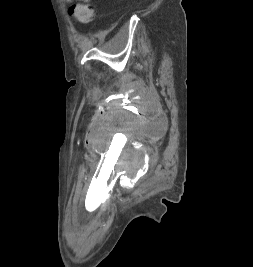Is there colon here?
<instances>
[{
  "label": "colon",
  "instance_id": "1",
  "mask_svg": "<svg viewBox=\"0 0 253 267\" xmlns=\"http://www.w3.org/2000/svg\"><path fill=\"white\" fill-rule=\"evenodd\" d=\"M90 1L91 0H82V3L69 8V13L80 24H89L95 18L96 11Z\"/></svg>",
  "mask_w": 253,
  "mask_h": 267
}]
</instances>
